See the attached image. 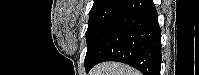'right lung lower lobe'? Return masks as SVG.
<instances>
[{"label": "right lung lower lobe", "mask_w": 199, "mask_h": 75, "mask_svg": "<svg viewBox=\"0 0 199 75\" xmlns=\"http://www.w3.org/2000/svg\"><path fill=\"white\" fill-rule=\"evenodd\" d=\"M161 30L153 0H128L105 30L85 65L118 61L143 75H160Z\"/></svg>", "instance_id": "1"}]
</instances>
